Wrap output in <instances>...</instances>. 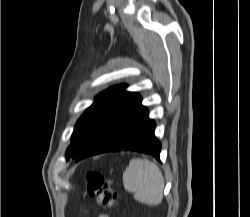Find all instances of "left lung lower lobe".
I'll return each mask as SVG.
<instances>
[{
    "label": "left lung lower lobe",
    "instance_id": "left-lung-lower-lobe-1",
    "mask_svg": "<svg viewBox=\"0 0 250 217\" xmlns=\"http://www.w3.org/2000/svg\"><path fill=\"white\" fill-rule=\"evenodd\" d=\"M142 98L133 93L107 121L76 161L104 152L130 150L150 154L159 160L161 143L154 136L156 123L149 119Z\"/></svg>",
    "mask_w": 250,
    "mask_h": 217
}]
</instances>
